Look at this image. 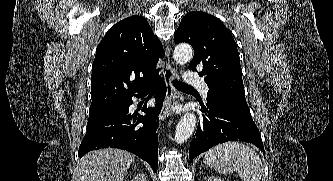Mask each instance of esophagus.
<instances>
[{
  "instance_id": "1",
  "label": "esophagus",
  "mask_w": 333,
  "mask_h": 181,
  "mask_svg": "<svg viewBox=\"0 0 333 181\" xmlns=\"http://www.w3.org/2000/svg\"><path fill=\"white\" fill-rule=\"evenodd\" d=\"M171 50L169 47L166 49L167 64L164 71V80L167 86V98L163 104L162 110L159 115V119L163 121L166 117L172 114L173 102L179 98V94L172 85V80L177 78V71L172 65L170 60Z\"/></svg>"
}]
</instances>
